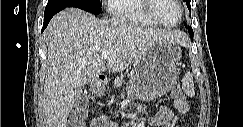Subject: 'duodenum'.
Wrapping results in <instances>:
<instances>
[{
    "label": "duodenum",
    "instance_id": "410a0bca",
    "mask_svg": "<svg viewBox=\"0 0 243 127\" xmlns=\"http://www.w3.org/2000/svg\"><path fill=\"white\" fill-rule=\"evenodd\" d=\"M108 84V78L106 75L104 74H99L93 84V87L95 89H102L104 87H106Z\"/></svg>",
    "mask_w": 243,
    "mask_h": 127
}]
</instances>
